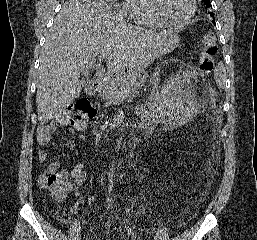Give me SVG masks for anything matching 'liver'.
Instances as JSON below:
<instances>
[{
  "label": "liver",
  "instance_id": "6515ba94",
  "mask_svg": "<svg viewBox=\"0 0 257 240\" xmlns=\"http://www.w3.org/2000/svg\"><path fill=\"white\" fill-rule=\"evenodd\" d=\"M165 33L119 19L104 0H67L40 55L36 94L39 119L56 116L79 96L80 72L92 68L98 56L107 54L108 74L119 75L142 58Z\"/></svg>",
  "mask_w": 257,
  "mask_h": 240
}]
</instances>
